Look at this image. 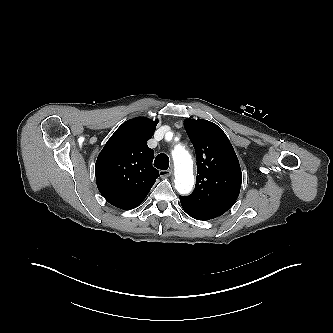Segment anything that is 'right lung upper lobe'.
<instances>
[{
	"label": "right lung upper lobe",
	"mask_w": 333,
	"mask_h": 333,
	"mask_svg": "<svg viewBox=\"0 0 333 333\" xmlns=\"http://www.w3.org/2000/svg\"><path fill=\"white\" fill-rule=\"evenodd\" d=\"M157 123L144 117L124 122L98 155V190L117 208L129 210L140 205L159 176L152 166L154 151L147 145Z\"/></svg>",
	"instance_id": "cb5924a9"
}]
</instances>
